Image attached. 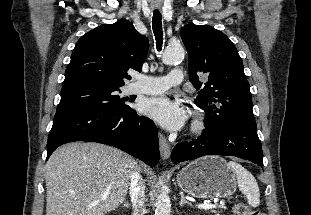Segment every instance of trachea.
Segmentation results:
<instances>
[{
    "label": "trachea",
    "instance_id": "3493384b",
    "mask_svg": "<svg viewBox=\"0 0 311 215\" xmlns=\"http://www.w3.org/2000/svg\"><path fill=\"white\" fill-rule=\"evenodd\" d=\"M152 28L156 39L157 50L160 51L163 44L162 15L159 10H154Z\"/></svg>",
    "mask_w": 311,
    "mask_h": 215
}]
</instances>
